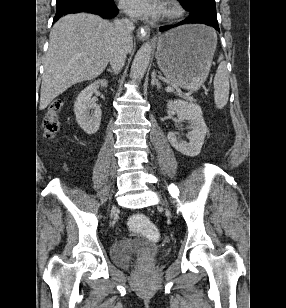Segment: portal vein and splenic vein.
Instances as JSON below:
<instances>
[{
  "label": "portal vein and splenic vein",
  "mask_w": 286,
  "mask_h": 308,
  "mask_svg": "<svg viewBox=\"0 0 286 308\" xmlns=\"http://www.w3.org/2000/svg\"><path fill=\"white\" fill-rule=\"evenodd\" d=\"M173 89H174V87L169 86V87L166 88V91H172Z\"/></svg>",
  "instance_id": "obj_1"
}]
</instances>
